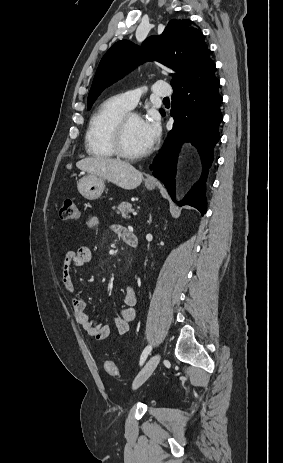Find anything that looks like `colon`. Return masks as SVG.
I'll list each match as a JSON object with an SVG mask.
<instances>
[{
	"label": "colon",
	"mask_w": 283,
	"mask_h": 463,
	"mask_svg": "<svg viewBox=\"0 0 283 463\" xmlns=\"http://www.w3.org/2000/svg\"><path fill=\"white\" fill-rule=\"evenodd\" d=\"M59 215L62 220L66 221L79 219L80 213L76 202L71 199H66L60 208ZM104 369L112 376H116L119 373L116 363L112 360H105Z\"/></svg>",
	"instance_id": "1"
}]
</instances>
